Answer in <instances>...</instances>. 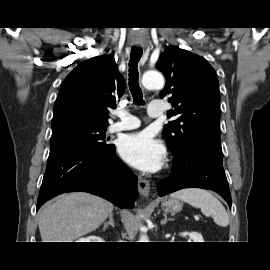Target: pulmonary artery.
Masks as SVG:
<instances>
[{"label":"pulmonary artery","instance_id":"1","mask_svg":"<svg viewBox=\"0 0 270 270\" xmlns=\"http://www.w3.org/2000/svg\"><path fill=\"white\" fill-rule=\"evenodd\" d=\"M163 114L162 102H153L148 107V115L152 118H159ZM116 116L118 121L111 126V131H122L136 129L141 125V121L125 111H118Z\"/></svg>","mask_w":270,"mask_h":270}]
</instances>
